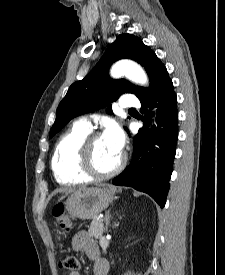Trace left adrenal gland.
I'll use <instances>...</instances> for the list:
<instances>
[{
	"label": "left adrenal gland",
	"mask_w": 225,
	"mask_h": 275,
	"mask_svg": "<svg viewBox=\"0 0 225 275\" xmlns=\"http://www.w3.org/2000/svg\"><path fill=\"white\" fill-rule=\"evenodd\" d=\"M110 214L109 211L106 212L105 214V223H106V231L108 230L109 224H110Z\"/></svg>",
	"instance_id": "left-adrenal-gland-1"
}]
</instances>
